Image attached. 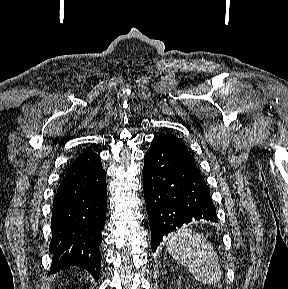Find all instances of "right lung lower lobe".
Returning a JSON list of instances; mask_svg holds the SVG:
<instances>
[{
    "mask_svg": "<svg viewBox=\"0 0 288 289\" xmlns=\"http://www.w3.org/2000/svg\"><path fill=\"white\" fill-rule=\"evenodd\" d=\"M105 179L100 157L92 151L80 155L68 168L53 201L50 274L78 266L98 279L107 208Z\"/></svg>",
    "mask_w": 288,
    "mask_h": 289,
    "instance_id": "1",
    "label": "right lung lower lobe"
}]
</instances>
